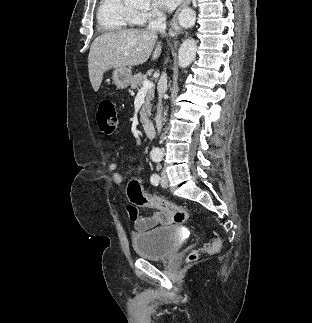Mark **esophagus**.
Wrapping results in <instances>:
<instances>
[{"mask_svg": "<svg viewBox=\"0 0 312 323\" xmlns=\"http://www.w3.org/2000/svg\"><path fill=\"white\" fill-rule=\"evenodd\" d=\"M191 3V0H183L181 5L177 8L176 12L174 13L171 21H170V33L172 34L173 38L177 37L182 32L181 27L178 24V15L180 11L184 8L187 7Z\"/></svg>", "mask_w": 312, "mask_h": 323, "instance_id": "esophagus-1", "label": "esophagus"}]
</instances>
